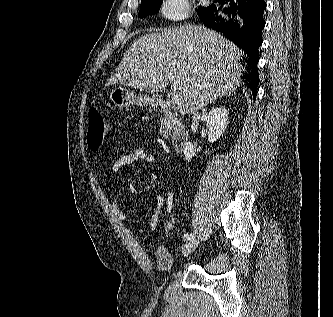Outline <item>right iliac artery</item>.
Here are the masks:
<instances>
[{"mask_svg": "<svg viewBox=\"0 0 333 317\" xmlns=\"http://www.w3.org/2000/svg\"><path fill=\"white\" fill-rule=\"evenodd\" d=\"M195 237H194V234H192V233H187V234H184V236H183V239L184 240H188V241H191V240H193Z\"/></svg>", "mask_w": 333, "mask_h": 317, "instance_id": "1", "label": "right iliac artery"}]
</instances>
